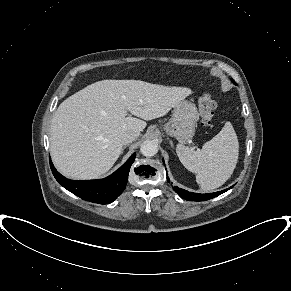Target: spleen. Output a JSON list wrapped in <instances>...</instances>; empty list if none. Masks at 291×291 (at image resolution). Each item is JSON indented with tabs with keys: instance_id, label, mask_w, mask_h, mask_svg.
<instances>
[{
	"instance_id": "obj_1",
	"label": "spleen",
	"mask_w": 291,
	"mask_h": 291,
	"mask_svg": "<svg viewBox=\"0 0 291 291\" xmlns=\"http://www.w3.org/2000/svg\"><path fill=\"white\" fill-rule=\"evenodd\" d=\"M180 162L196 173V182L205 191L223 185L232 175L239 154V143L233 126L226 122L221 131L206 142L202 149L177 145Z\"/></svg>"
}]
</instances>
